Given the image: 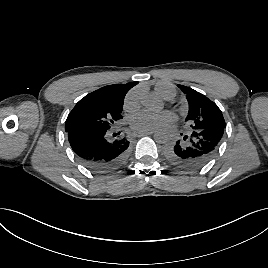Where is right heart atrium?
<instances>
[{"label":"right heart atrium","mask_w":268,"mask_h":268,"mask_svg":"<svg viewBox=\"0 0 268 268\" xmlns=\"http://www.w3.org/2000/svg\"><path fill=\"white\" fill-rule=\"evenodd\" d=\"M140 106L138 91H132L128 94L124 102L125 110L129 112L136 111Z\"/></svg>","instance_id":"d8ad5b80"}]
</instances>
